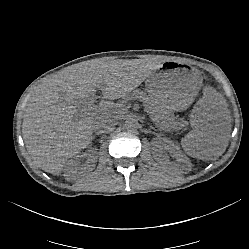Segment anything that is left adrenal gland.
<instances>
[{"label": "left adrenal gland", "instance_id": "1", "mask_svg": "<svg viewBox=\"0 0 249 249\" xmlns=\"http://www.w3.org/2000/svg\"><path fill=\"white\" fill-rule=\"evenodd\" d=\"M150 129L154 130L155 128L153 126H150Z\"/></svg>", "mask_w": 249, "mask_h": 249}]
</instances>
